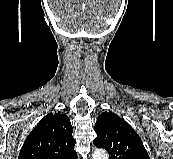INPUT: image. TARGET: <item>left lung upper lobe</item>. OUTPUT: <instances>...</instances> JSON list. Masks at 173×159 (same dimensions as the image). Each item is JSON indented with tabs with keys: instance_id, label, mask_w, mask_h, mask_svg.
<instances>
[{
	"instance_id": "5c2ea615",
	"label": "left lung upper lobe",
	"mask_w": 173,
	"mask_h": 159,
	"mask_svg": "<svg viewBox=\"0 0 173 159\" xmlns=\"http://www.w3.org/2000/svg\"><path fill=\"white\" fill-rule=\"evenodd\" d=\"M97 137L93 143L109 153V159H150L141 138L117 114L105 111L95 124Z\"/></svg>"
}]
</instances>
